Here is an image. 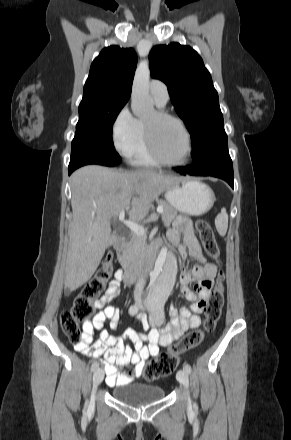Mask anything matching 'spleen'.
Here are the masks:
<instances>
[{"label":"spleen","instance_id":"spleen-1","mask_svg":"<svg viewBox=\"0 0 291 440\" xmlns=\"http://www.w3.org/2000/svg\"><path fill=\"white\" fill-rule=\"evenodd\" d=\"M215 226L221 236L226 235L228 228V214L225 208H222L221 212L217 215L215 219Z\"/></svg>","mask_w":291,"mask_h":440}]
</instances>
